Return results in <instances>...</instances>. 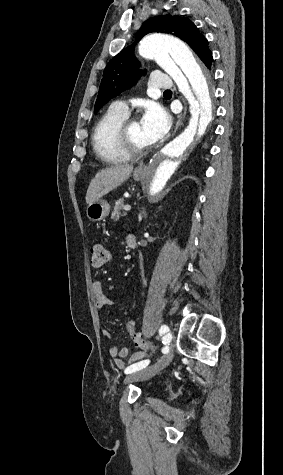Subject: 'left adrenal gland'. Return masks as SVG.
<instances>
[{
  "instance_id": "1",
  "label": "left adrenal gland",
  "mask_w": 283,
  "mask_h": 475,
  "mask_svg": "<svg viewBox=\"0 0 283 475\" xmlns=\"http://www.w3.org/2000/svg\"><path fill=\"white\" fill-rule=\"evenodd\" d=\"M141 214H144L145 218H147V214H146V212H145L144 208H142V210H141Z\"/></svg>"
}]
</instances>
